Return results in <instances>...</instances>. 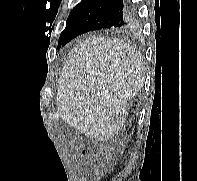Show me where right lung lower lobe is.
<instances>
[{"label":"right lung lower lobe","mask_w":197,"mask_h":181,"mask_svg":"<svg viewBox=\"0 0 197 181\" xmlns=\"http://www.w3.org/2000/svg\"><path fill=\"white\" fill-rule=\"evenodd\" d=\"M134 23L130 0H97L77 18L61 45L64 46L73 38L89 31L129 28Z\"/></svg>","instance_id":"obj_1"}]
</instances>
